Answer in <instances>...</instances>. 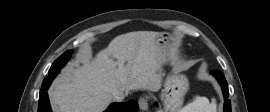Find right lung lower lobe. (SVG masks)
I'll return each instance as SVG.
<instances>
[{
	"mask_svg": "<svg viewBox=\"0 0 270 112\" xmlns=\"http://www.w3.org/2000/svg\"><path fill=\"white\" fill-rule=\"evenodd\" d=\"M53 79V76H48L43 80L39 95L38 112H51L47 89ZM137 110V102L135 100H130L125 103H113L105 112H137Z\"/></svg>",
	"mask_w": 270,
	"mask_h": 112,
	"instance_id": "98d812e1",
	"label": "right lung lower lobe"
}]
</instances>
